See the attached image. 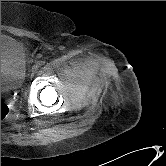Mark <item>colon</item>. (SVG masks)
I'll use <instances>...</instances> for the list:
<instances>
[{
    "label": "colon",
    "mask_w": 166,
    "mask_h": 166,
    "mask_svg": "<svg viewBox=\"0 0 166 166\" xmlns=\"http://www.w3.org/2000/svg\"><path fill=\"white\" fill-rule=\"evenodd\" d=\"M9 113V108L4 101H1V120H3Z\"/></svg>",
    "instance_id": "5ec220e1"
}]
</instances>
